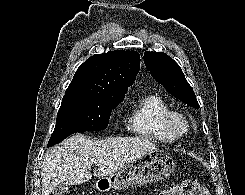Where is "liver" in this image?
<instances>
[{
  "instance_id": "liver-1",
  "label": "liver",
  "mask_w": 245,
  "mask_h": 195,
  "mask_svg": "<svg viewBox=\"0 0 245 195\" xmlns=\"http://www.w3.org/2000/svg\"><path fill=\"white\" fill-rule=\"evenodd\" d=\"M153 142L141 138L109 137L92 140L76 134L61 142L42 163V195L57 185H79L92 178L111 176L146 153L156 152Z\"/></svg>"
}]
</instances>
